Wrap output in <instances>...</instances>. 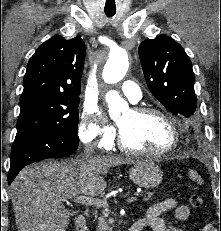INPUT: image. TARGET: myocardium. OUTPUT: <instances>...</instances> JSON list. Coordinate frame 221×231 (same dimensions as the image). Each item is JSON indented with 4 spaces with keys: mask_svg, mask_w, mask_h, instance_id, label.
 <instances>
[{
    "mask_svg": "<svg viewBox=\"0 0 221 231\" xmlns=\"http://www.w3.org/2000/svg\"><path fill=\"white\" fill-rule=\"evenodd\" d=\"M131 111L137 116L158 115L163 119H165L171 126L173 132V142L171 146H169L168 148L162 151H147V150L136 149L125 142L123 133L119 128L117 143L121 150L133 155H143L148 157L160 158L169 155L170 153L174 152L178 148L180 143V132H179L178 125L171 114H169L163 109L152 107V106H135L131 109Z\"/></svg>",
    "mask_w": 221,
    "mask_h": 231,
    "instance_id": "f54148a6",
    "label": "myocardium"
}]
</instances>
